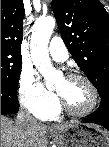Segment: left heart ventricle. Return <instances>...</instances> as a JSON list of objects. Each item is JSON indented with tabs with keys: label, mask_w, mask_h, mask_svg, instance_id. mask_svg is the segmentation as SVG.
<instances>
[{
	"label": "left heart ventricle",
	"mask_w": 109,
	"mask_h": 147,
	"mask_svg": "<svg viewBox=\"0 0 109 147\" xmlns=\"http://www.w3.org/2000/svg\"><path fill=\"white\" fill-rule=\"evenodd\" d=\"M56 91L64 96L69 105L77 111L88 109L93 101L90 88L82 80H68L63 78L58 83Z\"/></svg>",
	"instance_id": "obj_1"
}]
</instances>
